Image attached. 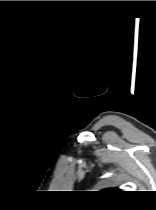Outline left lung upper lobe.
Returning <instances> with one entry per match:
<instances>
[{"label":"left lung upper lobe","mask_w":156,"mask_h":210,"mask_svg":"<svg viewBox=\"0 0 156 210\" xmlns=\"http://www.w3.org/2000/svg\"><path fill=\"white\" fill-rule=\"evenodd\" d=\"M109 190H115V191H117V189H109Z\"/></svg>","instance_id":"left-lung-upper-lobe-1"}]
</instances>
